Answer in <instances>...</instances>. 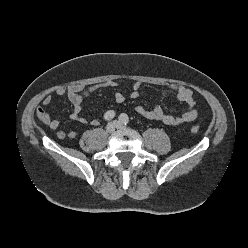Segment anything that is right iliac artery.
Instances as JSON below:
<instances>
[{"mask_svg": "<svg viewBox=\"0 0 248 248\" xmlns=\"http://www.w3.org/2000/svg\"><path fill=\"white\" fill-rule=\"evenodd\" d=\"M115 116V112L113 110H109L104 114V119L109 121L111 119H113Z\"/></svg>", "mask_w": 248, "mask_h": 248, "instance_id": "right-iliac-artery-1", "label": "right iliac artery"}]
</instances>
